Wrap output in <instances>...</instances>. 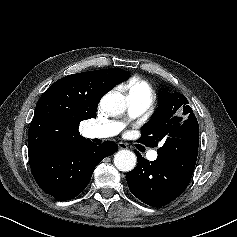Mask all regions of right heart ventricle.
I'll return each mask as SVG.
<instances>
[{"mask_svg":"<svg viewBox=\"0 0 237 237\" xmlns=\"http://www.w3.org/2000/svg\"><path fill=\"white\" fill-rule=\"evenodd\" d=\"M149 96L152 98V88L144 80L136 79L131 81L128 95Z\"/></svg>","mask_w":237,"mask_h":237,"instance_id":"1","label":"right heart ventricle"}]
</instances>
